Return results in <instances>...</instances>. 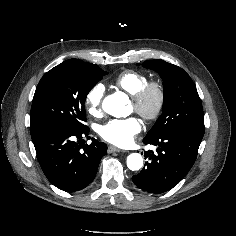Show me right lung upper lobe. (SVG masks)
Here are the masks:
<instances>
[{"label":"right lung upper lobe","mask_w":236,"mask_h":236,"mask_svg":"<svg viewBox=\"0 0 236 236\" xmlns=\"http://www.w3.org/2000/svg\"><path fill=\"white\" fill-rule=\"evenodd\" d=\"M75 60H77V59H75ZM78 61H80V62L86 64V65L89 66V67H95V66H97V65H94V64H91V63H85V62H83V61H81V60H78Z\"/></svg>","instance_id":"cb5924a9"}]
</instances>
